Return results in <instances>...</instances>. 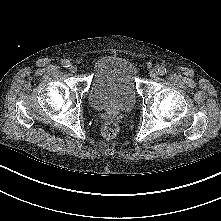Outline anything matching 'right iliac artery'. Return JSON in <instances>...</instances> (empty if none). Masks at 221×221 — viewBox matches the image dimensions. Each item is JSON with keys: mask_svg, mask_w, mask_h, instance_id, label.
<instances>
[{"mask_svg": "<svg viewBox=\"0 0 221 221\" xmlns=\"http://www.w3.org/2000/svg\"><path fill=\"white\" fill-rule=\"evenodd\" d=\"M62 65H63V67L68 68L70 66V61L65 59L62 61Z\"/></svg>", "mask_w": 221, "mask_h": 221, "instance_id": "obj_1", "label": "right iliac artery"}]
</instances>
